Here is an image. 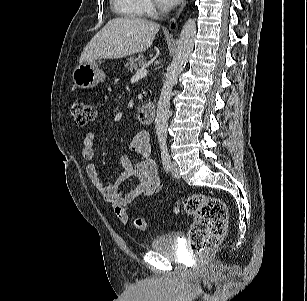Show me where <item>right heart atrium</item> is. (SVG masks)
Instances as JSON below:
<instances>
[{"instance_id":"right-heart-atrium-1","label":"right heart atrium","mask_w":307,"mask_h":301,"mask_svg":"<svg viewBox=\"0 0 307 301\" xmlns=\"http://www.w3.org/2000/svg\"><path fill=\"white\" fill-rule=\"evenodd\" d=\"M144 12L150 17H153L156 14V6L152 0H144Z\"/></svg>"}]
</instances>
